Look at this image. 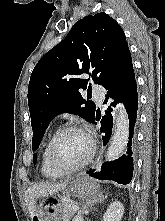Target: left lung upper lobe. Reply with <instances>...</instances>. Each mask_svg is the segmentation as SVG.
<instances>
[{"mask_svg": "<svg viewBox=\"0 0 165 221\" xmlns=\"http://www.w3.org/2000/svg\"><path fill=\"white\" fill-rule=\"evenodd\" d=\"M129 54L123 30L108 14L88 15L74 24L67 37L39 60L30 77L33 151L56 115L69 112L94 120L96 106L81 96L91 84L81 75L89 74L103 86ZM33 160L35 164L36 154Z\"/></svg>", "mask_w": 165, "mask_h": 221, "instance_id": "left-lung-upper-lobe-1", "label": "left lung upper lobe"}]
</instances>
